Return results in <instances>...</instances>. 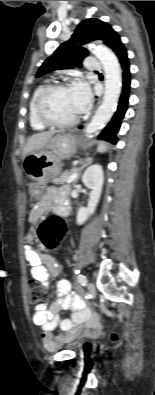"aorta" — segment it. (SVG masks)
Segmentation results:
<instances>
[{
  "mask_svg": "<svg viewBox=\"0 0 155 395\" xmlns=\"http://www.w3.org/2000/svg\"><path fill=\"white\" fill-rule=\"evenodd\" d=\"M91 52L100 60L103 66L105 72V91L102 104L85 128L87 137H91L112 118L122 88L120 64L115 54L103 45L95 46L91 49Z\"/></svg>",
  "mask_w": 155,
  "mask_h": 395,
  "instance_id": "762f6f07",
  "label": "aorta"
}]
</instances>
